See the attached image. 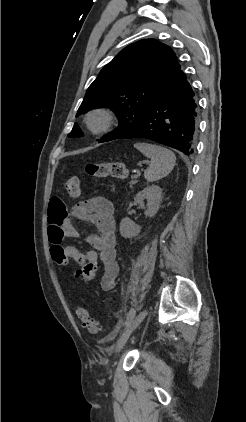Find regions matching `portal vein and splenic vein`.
<instances>
[{
  "mask_svg": "<svg viewBox=\"0 0 246 422\" xmlns=\"http://www.w3.org/2000/svg\"><path fill=\"white\" fill-rule=\"evenodd\" d=\"M139 176V173H137L134 177L137 178Z\"/></svg>",
  "mask_w": 246,
  "mask_h": 422,
  "instance_id": "obj_1",
  "label": "portal vein and splenic vein"
}]
</instances>
